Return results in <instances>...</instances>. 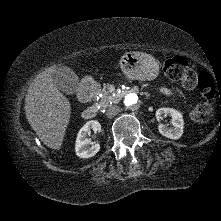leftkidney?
<instances>
[{"mask_svg": "<svg viewBox=\"0 0 221 221\" xmlns=\"http://www.w3.org/2000/svg\"><path fill=\"white\" fill-rule=\"evenodd\" d=\"M169 115L172 118V128H166L159 124L158 130L161 135L170 139H179L183 134L184 120L182 114L173 108H159L156 111V119L160 121L164 116Z\"/></svg>", "mask_w": 221, "mask_h": 221, "instance_id": "1", "label": "left kidney"}]
</instances>
